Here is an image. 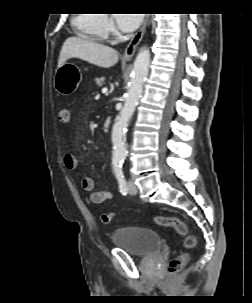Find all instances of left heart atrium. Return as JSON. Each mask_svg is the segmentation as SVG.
I'll return each mask as SVG.
<instances>
[{
  "label": "left heart atrium",
  "instance_id": "left-heart-atrium-1",
  "mask_svg": "<svg viewBox=\"0 0 252 303\" xmlns=\"http://www.w3.org/2000/svg\"><path fill=\"white\" fill-rule=\"evenodd\" d=\"M141 18L140 14H115L117 26L124 32L135 30L140 25Z\"/></svg>",
  "mask_w": 252,
  "mask_h": 303
}]
</instances>
